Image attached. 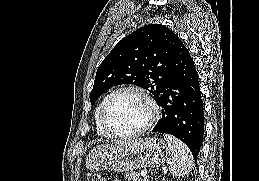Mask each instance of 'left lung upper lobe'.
Returning <instances> with one entry per match:
<instances>
[{
	"label": "left lung upper lobe",
	"instance_id": "obj_1",
	"mask_svg": "<svg viewBox=\"0 0 259 181\" xmlns=\"http://www.w3.org/2000/svg\"><path fill=\"white\" fill-rule=\"evenodd\" d=\"M178 36L169 28L149 24L123 38L100 64L90 102L109 88L135 84L151 92L155 101L172 70Z\"/></svg>",
	"mask_w": 259,
	"mask_h": 181
}]
</instances>
